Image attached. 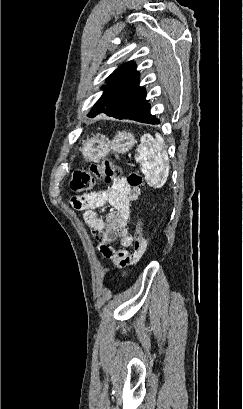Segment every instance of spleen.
Wrapping results in <instances>:
<instances>
[{"mask_svg":"<svg viewBox=\"0 0 243 409\" xmlns=\"http://www.w3.org/2000/svg\"><path fill=\"white\" fill-rule=\"evenodd\" d=\"M137 148L138 155L135 158L140 163L141 172L145 176L147 184L154 188L162 187L169 175V163L166 159L164 140L159 133L153 138L150 134H144Z\"/></svg>","mask_w":243,"mask_h":409,"instance_id":"1","label":"spleen"}]
</instances>
